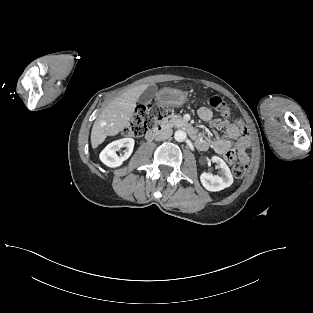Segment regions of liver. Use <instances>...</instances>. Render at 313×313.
<instances>
[{"label":"liver","instance_id":"liver-1","mask_svg":"<svg viewBox=\"0 0 313 313\" xmlns=\"http://www.w3.org/2000/svg\"><path fill=\"white\" fill-rule=\"evenodd\" d=\"M147 88L148 84H143L129 89L103 109L92 127V148H97L107 136L118 134L128 125L139 97Z\"/></svg>","mask_w":313,"mask_h":313}]
</instances>
